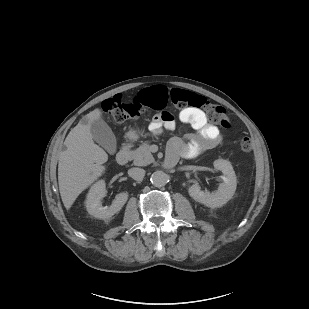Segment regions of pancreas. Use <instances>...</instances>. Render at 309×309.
I'll list each match as a JSON object with an SVG mask.
<instances>
[{
	"instance_id": "1",
	"label": "pancreas",
	"mask_w": 309,
	"mask_h": 309,
	"mask_svg": "<svg viewBox=\"0 0 309 309\" xmlns=\"http://www.w3.org/2000/svg\"><path fill=\"white\" fill-rule=\"evenodd\" d=\"M130 158L136 166H146L154 161L148 142L142 143L139 148L131 151Z\"/></svg>"
}]
</instances>
